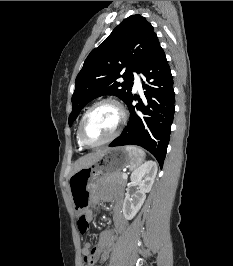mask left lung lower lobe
I'll return each mask as SVG.
<instances>
[{
	"mask_svg": "<svg viewBox=\"0 0 233 266\" xmlns=\"http://www.w3.org/2000/svg\"><path fill=\"white\" fill-rule=\"evenodd\" d=\"M140 73L145 99L131 96L128 126L109 146L139 145L151 152L162 168L175 113L173 77L160 44L149 55ZM138 100L136 106L133 100Z\"/></svg>",
	"mask_w": 233,
	"mask_h": 266,
	"instance_id": "1",
	"label": "left lung lower lobe"
}]
</instances>
